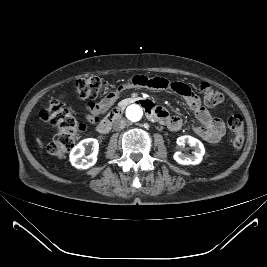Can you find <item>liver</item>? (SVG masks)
<instances>
[{"label": "liver", "instance_id": "6515ba94", "mask_svg": "<svg viewBox=\"0 0 267 267\" xmlns=\"http://www.w3.org/2000/svg\"><path fill=\"white\" fill-rule=\"evenodd\" d=\"M36 140H37L38 145H39L41 148H43V143L41 142V140H40L39 138H37Z\"/></svg>", "mask_w": 267, "mask_h": 267}]
</instances>
